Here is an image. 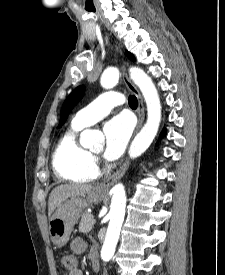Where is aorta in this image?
<instances>
[{"mask_svg": "<svg viewBox=\"0 0 225 275\" xmlns=\"http://www.w3.org/2000/svg\"><path fill=\"white\" fill-rule=\"evenodd\" d=\"M129 74L144 96L148 114L145 125L136 135L129 149V156L137 158L146 151L158 132L161 121V105L152 79L142 69L132 67L129 70ZM118 80V69L108 68L103 72L100 82L103 88L111 89L118 83ZM99 140L100 137L92 130H85L81 133L80 142L84 147H96ZM111 191L112 200L108 214L109 224L101 250L103 261H109L113 257L125 217L126 193L124 186L120 183L116 184Z\"/></svg>", "mask_w": 225, "mask_h": 275, "instance_id": "obj_1", "label": "aorta"}]
</instances>
